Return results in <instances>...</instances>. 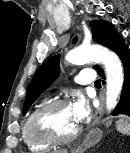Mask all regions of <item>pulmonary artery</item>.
Returning <instances> with one entry per match:
<instances>
[{
	"label": "pulmonary artery",
	"instance_id": "1",
	"mask_svg": "<svg viewBox=\"0 0 130 153\" xmlns=\"http://www.w3.org/2000/svg\"><path fill=\"white\" fill-rule=\"evenodd\" d=\"M95 80V72L93 70H83L75 78L78 84H90Z\"/></svg>",
	"mask_w": 130,
	"mask_h": 153
}]
</instances>
